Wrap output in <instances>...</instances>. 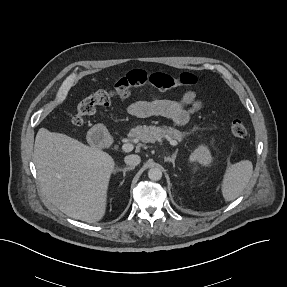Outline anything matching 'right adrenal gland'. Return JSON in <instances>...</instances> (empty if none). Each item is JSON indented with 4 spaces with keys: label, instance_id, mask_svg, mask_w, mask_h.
<instances>
[{
    "label": "right adrenal gland",
    "instance_id": "obj_1",
    "mask_svg": "<svg viewBox=\"0 0 287 287\" xmlns=\"http://www.w3.org/2000/svg\"><path fill=\"white\" fill-rule=\"evenodd\" d=\"M133 169H134V167H125V168H123V169L118 168V169H116V172H123V177H125L126 172L129 171V170H133ZM122 183H123V182H121V184H122Z\"/></svg>",
    "mask_w": 287,
    "mask_h": 287
}]
</instances>
